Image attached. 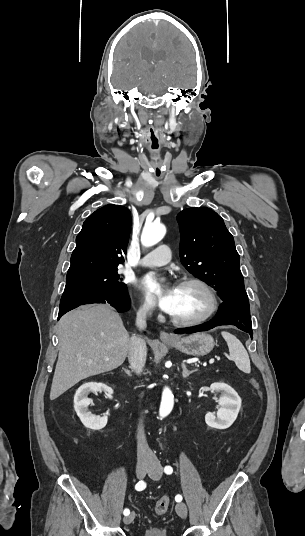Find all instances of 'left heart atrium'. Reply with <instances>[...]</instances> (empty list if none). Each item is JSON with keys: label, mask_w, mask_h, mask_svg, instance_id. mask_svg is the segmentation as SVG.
Listing matches in <instances>:
<instances>
[{"label": "left heart atrium", "mask_w": 305, "mask_h": 536, "mask_svg": "<svg viewBox=\"0 0 305 536\" xmlns=\"http://www.w3.org/2000/svg\"><path fill=\"white\" fill-rule=\"evenodd\" d=\"M138 288L145 297L157 303L162 310L166 312L172 311L177 286H166L160 277L149 274L140 280Z\"/></svg>", "instance_id": "1"}]
</instances>
